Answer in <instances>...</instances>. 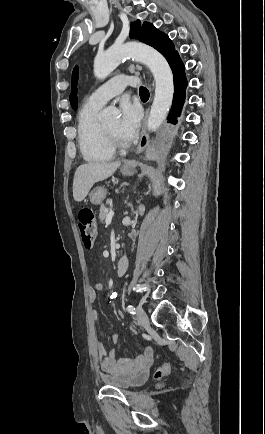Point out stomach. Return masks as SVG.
I'll return each mask as SVG.
<instances>
[{
	"instance_id": "obj_1",
	"label": "stomach",
	"mask_w": 265,
	"mask_h": 434,
	"mask_svg": "<svg viewBox=\"0 0 265 434\" xmlns=\"http://www.w3.org/2000/svg\"><path fill=\"white\" fill-rule=\"evenodd\" d=\"M129 168H126V166H122L121 168V174L123 176H133L135 174L136 170L133 166V164H128ZM107 194V190L103 188V186H98V188H94L92 192L89 194L90 202L91 204H102L103 200H105Z\"/></svg>"
}]
</instances>
